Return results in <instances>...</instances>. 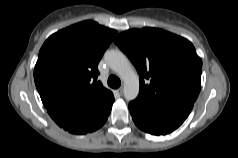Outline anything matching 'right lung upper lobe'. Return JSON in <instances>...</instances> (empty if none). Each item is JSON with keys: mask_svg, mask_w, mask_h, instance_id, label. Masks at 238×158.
Wrapping results in <instances>:
<instances>
[{"mask_svg": "<svg viewBox=\"0 0 238 158\" xmlns=\"http://www.w3.org/2000/svg\"><path fill=\"white\" fill-rule=\"evenodd\" d=\"M117 31L84 21L51 35L39 51L34 80L45 107L113 99L97 81L98 63Z\"/></svg>", "mask_w": 238, "mask_h": 158, "instance_id": "1", "label": "right lung upper lobe"}]
</instances>
